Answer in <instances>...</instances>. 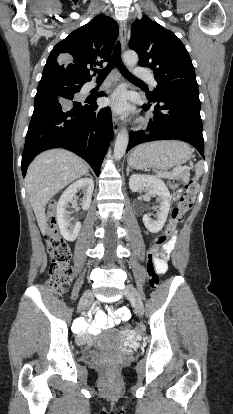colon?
Returning a JSON list of instances; mask_svg holds the SVG:
<instances>
[{
  "label": "colon",
  "instance_id": "colon-1",
  "mask_svg": "<svg viewBox=\"0 0 233 414\" xmlns=\"http://www.w3.org/2000/svg\"><path fill=\"white\" fill-rule=\"evenodd\" d=\"M196 191V179H191L184 185L183 189L177 190L178 203L172 210L171 221L167 226V231L165 234L156 238L154 246L148 256L147 274L149 284L152 288H155L159 283V276L156 271L155 262L162 256L164 247L167 245L177 223L182 220L185 213L192 207ZM45 240L48 252L52 258L47 285L55 293L60 294L64 287L72 280L73 269L69 265L71 258L69 244L62 238L57 228L56 206L53 202L48 208V226L45 232ZM121 328L125 332L130 331V325L126 322H122ZM107 369L111 370V365H107Z\"/></svg>",
  "mask_w": 233,
  "mask_h": 414
}]
</instances>
